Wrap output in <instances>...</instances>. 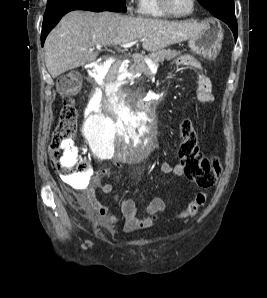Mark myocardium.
Returning <instances> with one entry per match:
<instances>
[{
  "label": "myocardium",
  "mask_w": 267,
  "mask_h": 298,
  "mask_svg": "<svg viewBox=\"0 0 267 298\" xmlns=\"http://www.w3.org/2000/svg\"><path fill=\"white\" fill-rule=\"evenodd\" d=\"M159 8L168 16L175 18H185L193 14L196 8V0H192V7L189 12L185 14H177L169 7L168 0H157Z\"/></svg>",
  "instance_id": "myocardium-1"
}]
</instances>
